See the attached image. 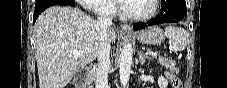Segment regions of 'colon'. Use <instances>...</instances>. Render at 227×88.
Returning <instances> with one entry per match:
<instances>
[{
	"label": "colon",
	"mask_w": 227,
	"mask_h": 88,
	"mask_svg": "<svg viewBox=\"0 0 227 88\" xmlns=\"http://www.w3.org/2000/svg\"><path fill=\"white\" fill-rule=\"evenodd\" d=\"M173 87L174 88H181V83L178 80H176V81L173 82Z\"/></svg>",
	"instance_id": "colon-1"
}]
</instances>
